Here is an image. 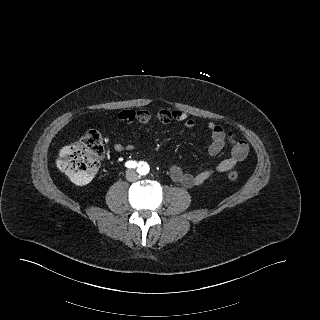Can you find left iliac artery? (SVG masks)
<instances>
[{"instance_id":"left-iliac-artery-1","label":"left iliac artery","mask_w":320,"mask_h":320,"mask_svg":"<svg viewBox=\"0 0 320 320\" xmlns=\"http://www.w3.org/2000/svg\"><path fill=\"white\" fill-rule=\"evenodd\" d=\"M149 170V166L147 164L142 163V166L139 168V171L142 173H146Z\"/></svg>"}]
</instances>
